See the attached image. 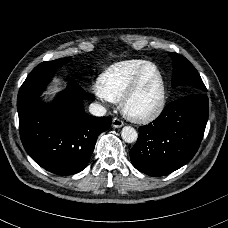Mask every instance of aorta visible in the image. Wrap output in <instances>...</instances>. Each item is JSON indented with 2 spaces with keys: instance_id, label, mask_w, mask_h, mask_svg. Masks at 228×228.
I'll use <instances>...</instances> for the list:
<instances>
[{
  "instance_id": "aorta-1",
  "label": "aorta",
  "mask_w": 228,
  "mask_h": 228,
  "mask_svg": "<svg viewBox=\"0 0 228 228\" xmlns=\"http://www.w3.org/2000/svg\"><path fill=\"white\" fill-rule=\"evenodd\" d=\"M121 136L126 143H132L137 140L138 133L133 127L125 126L121 131Z\"/></svg>"
}]
</instances>
